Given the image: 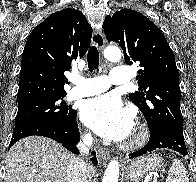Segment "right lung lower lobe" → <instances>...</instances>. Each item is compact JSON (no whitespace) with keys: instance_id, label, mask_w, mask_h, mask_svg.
I'll return each instance as SVG.
<instances>
[{"instance_id":"98d812e1","label":"right lung lower lobe","mask_w":196,"mask_h":182,"mask_svg":"<svg viewBox=\"0 0 196 182\" xmlns=\"http://www.w3.org/2000/svg\"><path fill=\"white\" fill-rule=\"evenodd\" d=\"M75 118L69 123L58 120L41 119L15 126L9 148L24 137L39 135L52 138L61 143L69 151L79 154L76 144L80 140V134ZM91 154L93 155L91 158L92 162L97 164L96 153L92 152Z\"/></svg>"}]
</instances>
